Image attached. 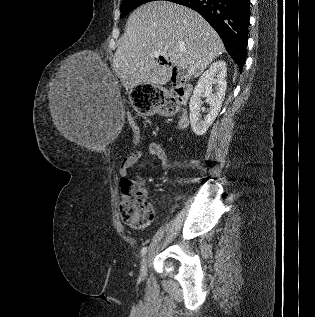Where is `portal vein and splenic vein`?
<instances>
[{
    "label": "portal vein and splenic vein",
    "mask_w": 315,
    "mask_h": 317,
    "mask_svg": "<svg viewBox=\"0 0 315 317\" xmlns=\"http://www.w3.org/2000/svg\"><path fill=\"white\" fill-rule=\"evenodd\" d=\"M154 55L156 56L157 54L156 53H154ZM188 74H192V73H194L195 72V68L194 67H191V68H189L188 69Z\"/></svg>",
    "instance_id": "1"
}]
</instances>
